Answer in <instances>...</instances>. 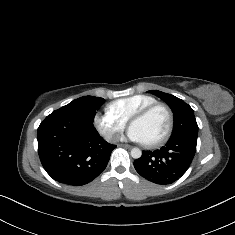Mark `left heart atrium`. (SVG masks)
Segmentation results:
<instances>
[{
    "instance_id": "obj_1",
    "label": "left heart atrium",
    "mask_w": 235,
    "mask_h": 235,
    "mask_svg": "<svg viewBox=\"0 0 235 235\" xmlns=\"http://www.w3.org/2000/svg\"><path fill=\"white\" fill-rule=\"evenodd\" d=\"M125 137L132 141V142H136V143H144L143 137L142 135L139 133V131L131 126L128 130V132L126 133ZM117 139H122V137H117Z\"/></svg>"
}]
</instances>
